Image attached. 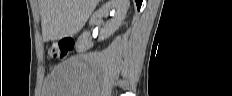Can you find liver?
<instances>
[{
  "label": "liver",
  "instance_id": "liver-1",
  "mask_svg": "<svg viewBox=\"0 0 232 96\" xmlns=\"http://www.w3.org/2000/svg\"><path fill=\"white\" fill-rule=\"evenodd\" d=\"M99 0H39L43 40L55 41L78 33Z\"/></svg>",
  "mask_w": 232,
  "mask_h": 96
}]
</instances>
